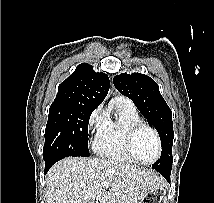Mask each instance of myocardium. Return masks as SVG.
I'll list each match as a JSON object with an SVG mask.
<instances>
[{"instance_id":"obj_1","label":"myocardium","mask_w":214,"mask_h":203,"mask_svg":"<svg viewBox=\"0 0 214 203\" xmlns=\"http://www.w3.org/2000/svg\"><path fill=\"white\" fill-rule=\"evenodd\" d=\"M143 129H147L153 134L155 141H156V145H157L156 157L154 160H152L150 162L142 161L136 155L135 149H134L135 138H136L137 134ZM125 146H126V150H127L128 154L134 161H136V163H139L142 165H147V166L153 165L154 163H156L159 160L161 153H162V144H161V140H160V136H159L158 132L153 127H151L150 125L143 123V122L134 124L128 129L127 134H126Z\"/></svg>"}]
</instances>
